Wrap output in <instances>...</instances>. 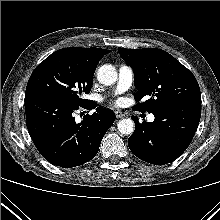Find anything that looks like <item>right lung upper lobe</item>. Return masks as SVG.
<instances>
[{
  "label": "right lung upper lobe",
  "instance_id": "right-lung-upper-lobe-1",
  "mask_svg": "<svg viewBox=\"0 0 220 220\" xmlns=\"http://www.w3.org/2000/svg\"><path fill=\"white\" fill-rule=\"evenodd\" d=\"M61 51H65L71 53L77 57H79L83 62L88 65L97 67L98 62L102 59V57L110 52V50L100 49V48H64L60 49Z\"/></svg>",
  "mask_w": 220,
  "mask_h": 220
}]
</instances>
